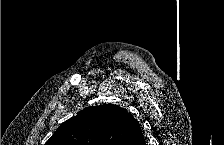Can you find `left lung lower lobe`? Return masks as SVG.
<instances>
[{"instance_id": "1", "label": "left lung lower lobe", "mask_w": 224, "mask_h": 145, "mask_svg": "<svg viewBox=\"0 0 224 145\" xmlns=\"http://www.w3.org/2000/svg\"><path fill=\"white\" fill-rule=\"evenodd\" d=\"M138 145H145V140L144 137L138 142Z\"/></svg>"}]
</instances>
